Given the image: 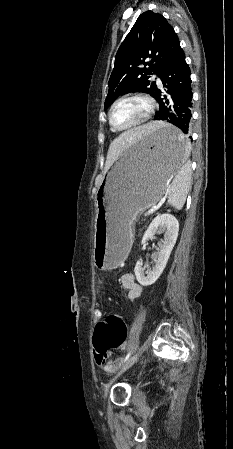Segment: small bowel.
Masks as SVG:
<instances>
[{"mask_svg": "<svg viewBox=\"0 0 233 449\" xmlns=\"http://www.w3.org/2000/svg\"><path fill=\"white\" fill-rule=\"evenodd\" d=\"M120 283L123 290L126 291L128 299L134 300L141 295L142 287L135 281V276L133 273H124L120 278ZM102 316V312L98 310L94 314L96 321H100ZM94 360L97 366L108 373H113L122 361L119 357L111 358V353L101 355L96 352L94 353Z\"/></svg>", "mask_w": 233, "mask_h": 449, "instance_id": "small-bowel-1", "label": "small bowel"}]
</instances>
